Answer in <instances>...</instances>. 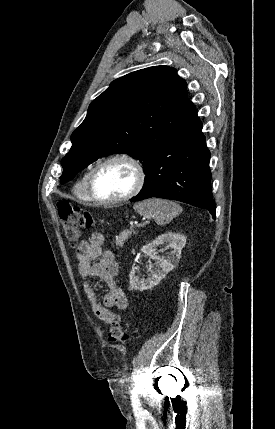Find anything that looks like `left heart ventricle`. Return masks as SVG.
Returning a JSON list of instances; mask_svg holds the SVG:
<instances>
[{
	"instance_id": "1",
	"label": "left heart ventricle",
	"mask_w": 275,
	"mask_h": 429,
	"mask_svg": "<svg viewBox=\"0 0 275 429\" xmlns=\"http://www.w3.org/2000/svg\"><path fill=\"white\" fill-rule=\"evenodd\" d=\"M135 173L125 162H113L101 168L93 183L94 194L99 199H114L125 195L132 188Z\"/></svg>"
}]
</instances>
